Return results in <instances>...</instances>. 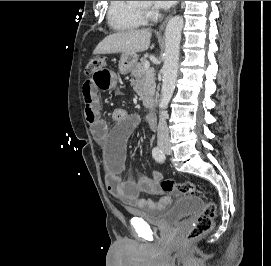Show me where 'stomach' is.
Here are the masks:
<instances>
[{
    "label": "stomach",
    "instance_id": "obj_1",
    "mask_svg": "<svg viewBox=\"0 0 271 266\" xmlns=\"http://www.w3.org/2000/svg\"><path fill=\"white\" fill-rule=\"evenodd\" d=\"M138 56L136 53H122L119 61V71L121 74L129 73L137 64Z\"/></svg>",
    "mask_w": 271,
    "mask_h": 266
}]
</instances>
